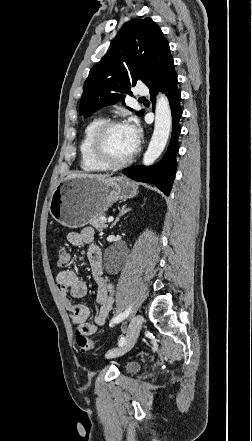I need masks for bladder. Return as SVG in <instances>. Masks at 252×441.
Segmentation results:
<instances>
[{"mask_svg": "<svg viewBox=\"0 0 252 441\" xmlns=\"http://www.w3.org/2000/svg\"><path fill=\"white\" fill-rule=\"evenodd\" d=\"M140 365L138 362L130 361L125 365V370L129 373H133L138 371Z\"/></svg>", "mask_w": 252, "mask_h": 441, "instance_id": "31cf9c89", "label": "bladder"}]
</instances>
